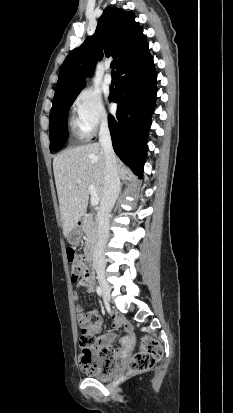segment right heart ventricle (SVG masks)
<instances>
[{"label":"right heart ventricle","mask_w":233,"mask_h":413,"mask_svg":"<svg viewBox=\"0 0 233 413\" xmlns=\"http://www.w3.org/2000/svg\"><path fill=\"white\" fill-rule=\"evenodd\" d=\"M69 125H70L71 134L75 139L80 140L86 137V135L83 133L76 119L72 118L70 120Z\"/></svg>","instance_id":"right-heart-ventricle-1"}]
</instances>
